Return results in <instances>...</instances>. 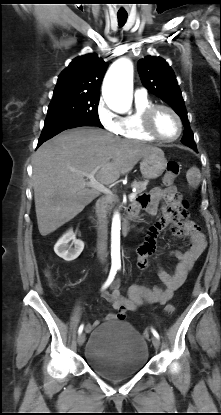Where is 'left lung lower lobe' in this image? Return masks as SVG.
<instances>
[{"instance_id":"1","label":"left lung lower lobe","mask_w":221,"mask_h":415,"mask_svg":"<svg viewBox=\"0 0 221 415\" xmlns=\"http://www.w3.org/2000/svg\"><path fill=\"white\" fill-rule=\"evenodd\" d=\"M193 150L197 151L196 146L195 147H191Z\"/></svg>"}]
</instances>
